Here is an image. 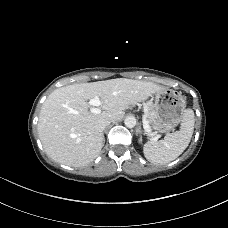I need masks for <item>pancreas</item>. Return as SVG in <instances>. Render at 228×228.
<instances>
[{"mask_svg": "<svg viewBox=\"0 0 228 228\" xmlns=\"http://www.w3.org/2000/svg\"><path fill=\"white\" fill-rule=\"evenodd\" d=\"M144 114L150 124L156 119V112L151 104H147L144 107Z\"/></svg>", "mask_w": 228, "mask_h": 228, "instance_id": "obj_1", "label": "pancreas"}]
</instances>
